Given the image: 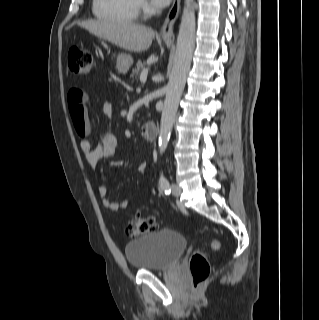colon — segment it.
<instances>
[{
    "label": "colon",
    "mask_w": 319,
    "mask_h": 320,
    "mask_svg": "<svg viewBox=\"0 0 319 320\" xmlns=\"http://www.w3.org/2000/svg\"><path fill=\"white\" fill-rule=\"evenodd\" d=\"M93 56L90 52L73 47L68 53V66L70 71L75 75H87L92 67ZM76 133L80 137L88 134L87 129L83 125L74 126ZM159 227V219L156 214H151L148 217H134L128 225L127 233L130 237H137L140 234L155 231ZM210 248L218 250L220 248V241L218 238L212 236L210 238ZM190 271L194 288H197L211 271L210 263L206 255L202 252H196L190 259Z\"/></svg>",
    "instance_id": "obj_1"
}]
</instances>
